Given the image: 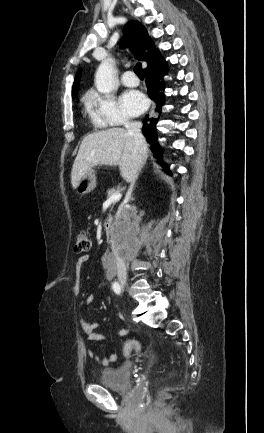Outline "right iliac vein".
Masks as SVG:
<instances>
[{"instance_id":"right-iliac-vein-1","label":"right iliac vein","mask_w":264,"mask_h":433,"mask_svg":"<svg viewBox=\"0 0 264 433\" xmlns=\"http://www.w3.org/2000/svg\"><path fill=\"white\" fill-rule=\"evenodd\" d=\"M119 281L123 287L127 286V280L125 278H120Z\"/></svg>"}]
</instances>
